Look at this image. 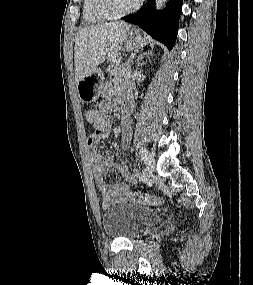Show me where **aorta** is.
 Here are the masks:
<instances>
[{"instance_id":"obj_1","label":"aorta","mask_w":253,"mask_h":285,"mask_svg":"<svg viewBox=\"0 0 253 285\" xmlns=\"http://www.w3.org/2000/svg\"><path fill=\"white\" fill-rule=\"evenodd\" d=\"M167 0H155V7L157 10H160L163 8Z\"/></svg>"}]
</instances>
